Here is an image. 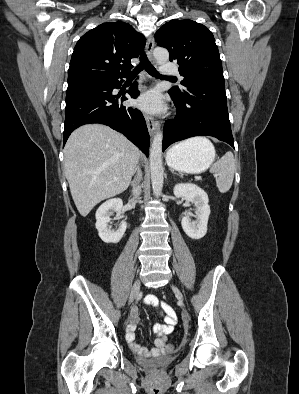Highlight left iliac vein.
Returning a JSON list of instances; mask_svg holds the SVG:
<instances>
[{"instance_id":"4c4485c4","label":"left iliac vein","mask_w":299,"mask_h":394,"mask_svg":"<svg viewBox=\"0 0 299 394\" xmlns=\"http://www.w3.org/2000/svg\"><path fill=\"white\" fill-rule=\"evenodd\" d=\"M173 291L175 292L176 296L180 299L183 300V295L182 293L179 291V289L175 286H172Z\"/></svg>"}]
</instances>
